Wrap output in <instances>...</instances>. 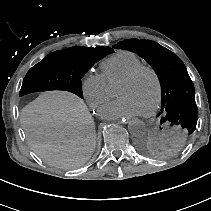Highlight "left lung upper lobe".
<instances>
[{"label": "left lung upper lobe", "instance_id": "obj_1", "mask_svg": "<svg viewBox=\"0 0 211 211\" xmlns=\"http://www.w3.org/2000/svg\"><path fill=\"white\" fill-rule=\"evenodd\" d=\"M113 48L137 53L152 66L161 84L162 105L157 117L171 130L174 141L185 142L196 129L198 110L193 82L180 58L151 40H124Z\"/></svg>", "mask_w": 211, "mask_h": 211}]
</instances>
